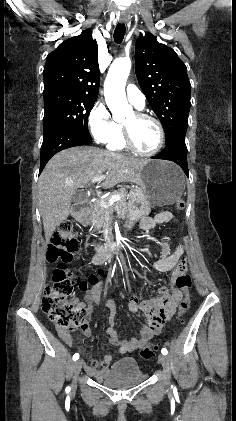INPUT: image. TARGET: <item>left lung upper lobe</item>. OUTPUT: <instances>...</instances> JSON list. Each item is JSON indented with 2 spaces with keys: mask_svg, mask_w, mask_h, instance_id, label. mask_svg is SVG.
<instances>
[{
  "mask_svg": "<svg viewBox=\"0 0 236 421\" xmlns=\"http://www.w3.org/2000/svg\"><path fill=\"white\" fill-rule=\"evenodd\" d=\"M135 72L164 127L166 142L176 134H186L191 84L186 65L176 52L151 33L141 34L135 46Z\"/></svg>",
  "mask_w": 236,
  "mask_h": 421,
  "instance_id": "left-lung-upper-lobe-1",
  "label": "left lung upper lobe"
}]
</instances>
